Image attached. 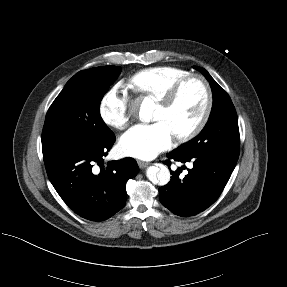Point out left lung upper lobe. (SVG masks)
<instances>
[{
	"instance_id": "obj_1",
	"label": "left lung upper lobe",
	"mask_w": 287,
	"mask_h": 287,
	"mask_svg": "<svg viewBox=\"0 0 287 287\" xmlns=\"http://www.w3.org/2000/svg\"><path fill=\"white\" fill-rule=\"evenodd\" d=\"M209 81L213 92V106L203 130L176 150L180 152H209L237 161L240 151L238 119L229 95L203 68L194 66Z\"/></svg>"
}]
</instances>
